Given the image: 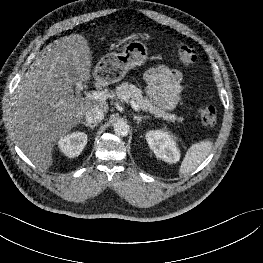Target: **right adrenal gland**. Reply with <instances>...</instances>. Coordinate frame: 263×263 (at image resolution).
I'll use <instances>...</instances> for the list:
<instances>
[{"instance_id": "obj_1", "label": "right adrenal gland", "mask_w": 263, "mask_h": 263, "mask_svg": "<svg viewBox=\"0 0 263 263\" xmlns=\"http://www.w3.org/2000/svg\"><path fill=\"white\" fill-rule=\"evenodd\" d=\"M81 124H83L84 126L90 127L91 129H94L96 127V124H89L85 121H81Z\"/></svg>"}]
</instances>
